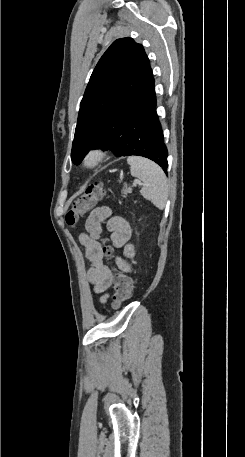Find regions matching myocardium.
<instances>
[{
	"label": "myocardium",
	"mask_w": 245,
	"mask_h": 457,
	"mask_svg": "<svg viewBox=\"0 0 245 457\" xmlns=\"http://www.w3.org/2000/svg\"><path fill=\"white\" fill-rule=\"evenodd\" d=\"M104 156L102 150L90 151L84 158V165L88 168H94L103 160Z\"/></svg>",
	"instance_id": "f54148a6"
}]
</instances>
